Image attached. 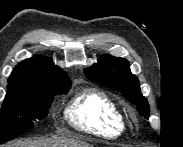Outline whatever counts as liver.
<instances>
[{
    "mask_svg": "<svg viewBox=\"0 0 183 147\" xmlns=\"http://www.w3.org/2000/svg\"><path fill=\"white\" fill-rule=\"evenodd\" d=\"M7 147H92L90 144L76 137H54L38 140L17 141L14 144H8Z\"/></svg>",
    "mask_w": 183,
    "mask_h": 147,
    "instance_id": "obj_1",
    "label": "liver"
}]
</instances>
